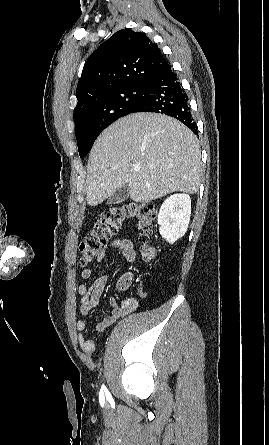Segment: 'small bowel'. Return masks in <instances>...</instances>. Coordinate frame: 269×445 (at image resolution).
I'll return each instance as SVG.
<instances>
[{
  "label": "small bowel",
  "instance_id": "obj_1",
  "mask_svg": "<svg viewBox=\"0 0 269 445\" xmlns=\"http://www.w3.org/2000/svg\"><path fill=\"white\" fill-rule=\"evenodd\" d=\"M107 248H114L121 252L122 256L128 263H133L136 259V252L133 243L125 238L116 239L112 241ZM106 249L102 250L97 257V261L101 262L106 258ZM93 276V270L86 268L82 270L81 277L84 280H89ZM129 274L123 276L119 282L120 286L130 280ZM107 284L106 276L97 277L90 286L80 284L77 287V293L80 295L79 311L81 315H87L90 310L95 308L102 297ZM110 315L97 324L96 330L99 333L106 332L114 324H116L123 317L136 311L138 308V301L134 298H127L122 303H119L115 298L109 299ZM79 331L78 342L80 347L87 353L94 352L96 348V341L93 337L87 335V323L84 320H79L76 324Z\"/></svg>",
  "mask_w": 269,
  "mask_h": 445
}]
</instances>
